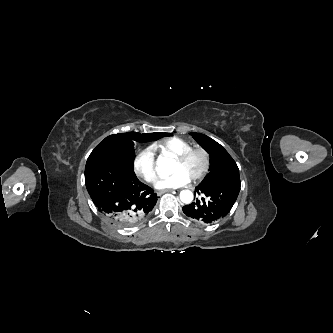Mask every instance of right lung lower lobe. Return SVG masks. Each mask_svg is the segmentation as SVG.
Wrapping results in <instances>:
<instances>
[{
    "label": "right lung lower lobe",
    "mask_w": 333,
    "mask_h": 333,
    "mask_svg": "<svg viewBox=\"0 0 333 333\" xmlns=\"http://www.w3.org/2000/svg\"><path fill=\"white\" fill-rule=\"evenodd\" d=\"M85 184L99 212L119 228L143 220L157 202L152 188L140 182L134 172L115 164H87Z\"/></svg>",
    "instance_id": "1"
}]
</instances>
